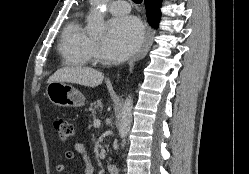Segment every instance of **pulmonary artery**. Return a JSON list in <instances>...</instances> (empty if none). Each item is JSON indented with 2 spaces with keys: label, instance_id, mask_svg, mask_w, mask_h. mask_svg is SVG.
I'll return each mask as SVG.
<instances>
[{
  "label": "pulmonary artery",
  "instance_id": "e3ab8cb5",
  "mask_svg": "<svg viewBox=\"0 0 249 174\" xmlns=\"http://www.w3.org/2000/svg\"><path fill=\"white\" fill-rule=\"evenodd\" d=\"M106 8L115 15L126 14L130 11V5L123 0H114L106 5Z\"/></svg>",
  "mask_w": 249,
  "mask_h": 174
}]
</instances>
